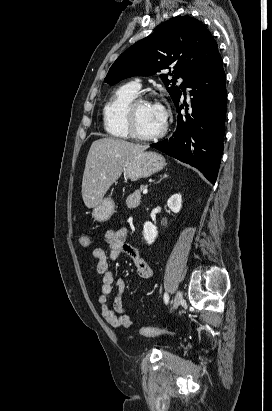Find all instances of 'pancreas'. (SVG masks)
Listing matches in <instances>:
<instances>
[{
  "label": "pancreas",
  "instance_id": "cf45deb5",
  "mask_svg": "<svg viewBox=\"0 0 272 411\" xmlns=\"http://www.w3.org/2000/svg\"><path fill=\"white\" fill-rule=\"evenodd\" d=\"M144 189V186H140L139 189L135 190L132 194L126 199V205L128 208L133 209L139 206L141 199V192Z\"/></svg>",
  "mask_w": 272,
  "mask_h": 411
}]
</instances>
